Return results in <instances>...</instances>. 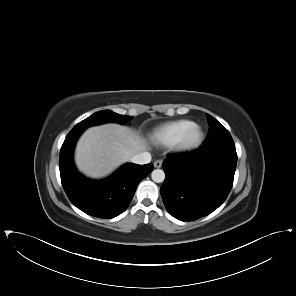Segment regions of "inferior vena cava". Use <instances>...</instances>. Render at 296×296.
Listing matches in <instances>:
<instances>
[{
    "mask_svg": "<svg viewBox=\"0 0 296 296\" xmlns=\"http://www.w3.org/2000/svg\"><path fill=\"white\" fill-rule=\"evenodd\" d=\"M130 160L132 163L135 164H147L151 161V154L149 152H141L139 154L134 155Z\"/></svg>",
    "mask_w": 296,
    "mask_h": 296,
    "instance_id": "1",
    "label": "inferior vena cava"
}]
</instances>
